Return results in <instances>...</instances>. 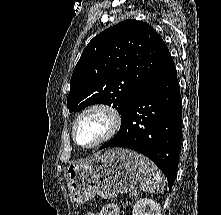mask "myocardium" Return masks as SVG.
Returning a JSON list of instances; mask_svg holds the SVG:
<instances>
[{"mask_svg":"<svg viewBox=\"0 0 221 215\" xmlns=\"http://www.w3.org/2000/svg\"><path fill=\"white\" fill-rule=\"evenodd\" d=\"M102 112L105 114L109 121V126L107 131L103 136H101L96 142H94L91 145H81L76 137V128L79 123V121L87 114L91 112ZM122 124V118L119 113V111L111 104L104 103V102H97L90 104L86 107H84L75 117L73 124H72V137L75 144L83 149H93L96 148L109 140H111L120 130Z\"/></svg>","mask_w":221,"mask_h":215,"instance_id":"myocardium-1","label":"myocardium"}]
</instances>
